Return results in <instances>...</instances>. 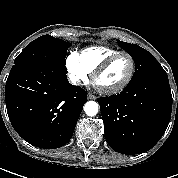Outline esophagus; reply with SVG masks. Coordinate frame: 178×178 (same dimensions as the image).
<instances>
[{"label":"esophagus","mask_w":178,"mask_h":178,"mask_svg":"<svg viewBox=\"0 0 178 178\" xmlns=\"http://www.w3.org/2000/svg\"><path fill=\"white\" fill-rule=\"evenodd\" d=\"M87 98L89 100H96L97 99V97L95 95L91 94V93L88 94Z\"/></svg>","instance_id":"1"}]
</instances>
